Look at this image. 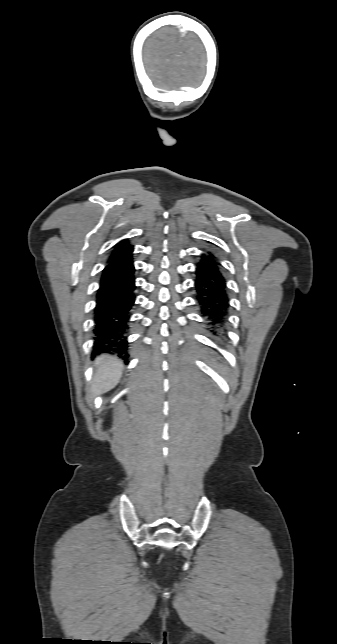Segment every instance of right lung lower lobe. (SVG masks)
<instances>
[{"label": "right lung lower lobe", "instance_id": "1", "mask_svg": "<svg viewBox=\"0 0 337 644\" xmlns=\"http://www.w3.org/2000/svg\"><path fill=\"white\" fill-rule=\"evenodd\" d=\"M135 268L132 256L108 262L104 268L95 307L94 349L128 358L127 336L134 306Z\"/></svg>", "mask_w": 337, "mask_h": 644}]
</instances>
